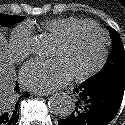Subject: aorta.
<instances>
[{
  "label": "aorta",
  "instance_id": "762f6f07",
  "mask_svg": "<svg viewBox=\"0 0 125 125\" xmlns=\"http://www.w3.org/2000/svg\"><path fill=\"white\" fill-rule=\"evenodd\" d=\"M53 51V44L47 37H38L35 43V52L41 58H47ZM50 110L61 117L69 116L74 108L75 104L70 95L64 92L54 94L48 102Z\"/></svg>",
  "mask_w": 125,
  "mask_h": 125
}]
</instances>
